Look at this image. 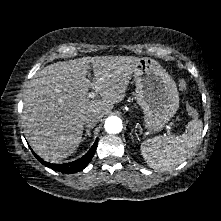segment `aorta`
<instances>
[{
    "label": "aorta",
    "mask_w": 221,
    "mask_h": 221,
    "mask_svg": "<svg viewBox=\"0 0 221 221\" xmlns=\"http://www.w3.org/2000/svg\"><path fill=\"white\" fill-rule=\"evenodd\" d=\"M105 130L111 134H117L122 130V121L117 116L108 117L105 121Z\"/></svg>",
    "instance_id": "aorta-1"
}]
</instances>
